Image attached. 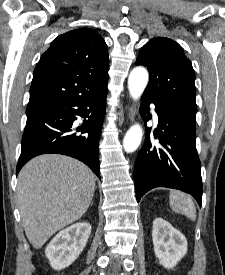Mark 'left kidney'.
Listing matches in <instances>:
<instances>
[{"label":"left kidney","instance_id":"obj_1","mask_svg":"<svg viewBox=\"0 0 225 275\" xmlns=\"http://www.w3.org/2000/svg\"><path fill=\"white\" fill-rule=\"evenodd\" d=\"M152 240L156 257L167 269L176 266L187 253L184 235L162 218L153 221Z\"/></svg>","mask_w":225,"mask_h":275}]
</instances>
